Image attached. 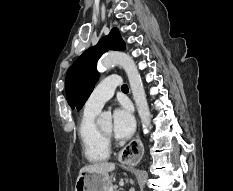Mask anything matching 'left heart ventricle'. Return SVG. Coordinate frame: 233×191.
<instances>
[{
	"label": "left heart ventricle",
	"mask_w": 233,
	"mask_h": 191,
	"mask_svg": "<svg viewBox=\"0 0 233 191\" xmlns=\"http://www.w3.org/2000/svg\"><path fill=\"white\" fill-rule=\"evenodd\" d=\"M111 128H112V125L111 123H106V124H103L100 126V129L106 133H110L111 132Z\"/></svg>",
	"instance_id": "b2bd125f"
}]
</instances>
